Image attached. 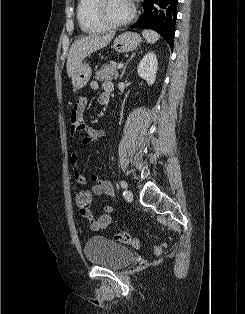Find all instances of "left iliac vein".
Here are the masks:
<instances>
[{"mask_svg":"<svg viewBox=\"0 0 245 314\" xmlns=\"http://www.w3.org/2000/svg\"><path fill=\"white\" fill-rule=\"evenodd\" d=\"M125 199L128 202H131L133 200V194H132L131 190H126L125 191Z\"/></svg>","mask_w":245,"mask_h":314,"instance_id":"1","label":"left iliac vein"}]
</instances>
